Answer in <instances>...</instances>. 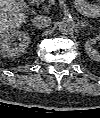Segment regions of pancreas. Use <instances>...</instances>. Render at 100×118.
Listing matches in <instances>:
<instances>
[{"label":"pancreas","instance_id":"1","mask_svg":"<svg viewBox=\"0 0 100 118\" xmlns=\"http://www.w3.org/2000/svg\"><path fill=\"white\" fill-rule=\"evenodd\" d=\"M44 1H46V0H37L36 2H37V4H41V3H43Z\"/></svg>","mask_w":100,"mask_h":118}]
</instances>
